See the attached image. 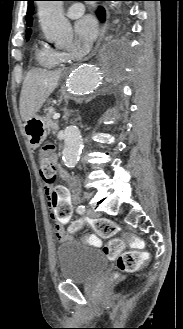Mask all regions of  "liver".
I'll use <instances>...</instances> for the list:
<instances>
[{
    "instance_id": "1",
    "label": "liver",
    "mask_w": 183,
    "mask_h": 329,
    "mask_svg": "<svg viewBox=\"0 0 183 329\" xmlns=\"http://www.w3.org/2000/svg\"><path fill=\"white\" fill-rule=\"evenodd\" d=\"M60 78L59 71H46L40 68L31 69L23 82L20 95V114L24 122L33 117L49 95L56 88Z\"/></svg>"
}]
</instances>
